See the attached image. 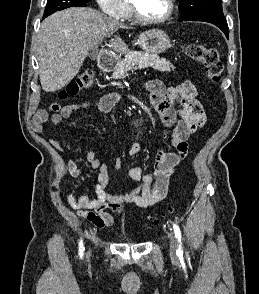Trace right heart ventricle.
<instances>
[{"mask_svg":"<svg viewBox=\"0 0 259 294\" xmlns=\"http://www.w3.org/2000/svg\"><path fill=\"white\" fill-rule=\"evenodd\" d=\"M132 17V12H131V9H130V7H129V9H128V12H127V14H126V16H125V18L124 19H128V18H131Z\"/></svg>","mask_w":259,"mask_h":294,"instance_id":"obj_1","label":"right heart ventricle"}]
</instances>
